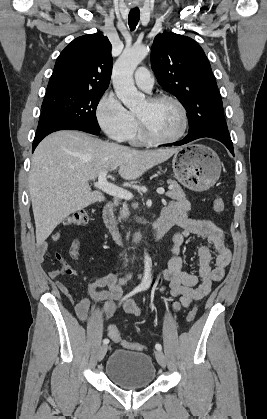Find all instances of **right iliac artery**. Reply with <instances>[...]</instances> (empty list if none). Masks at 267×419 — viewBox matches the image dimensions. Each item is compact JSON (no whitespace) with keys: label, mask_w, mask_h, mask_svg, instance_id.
<instances>
[{"label":"right iliac artery","mask_w":267,"mask_h":419,"mask_svg":"<svg viewBox=\"0 0 267 419\" xmlns=\"http://www.w3.org/2000/svg\"><path fill=\"white\" fill-rule=\"evenodd\" d=\"M142 290V288L140 287V286H138V287H136L133 291H131L129 294H127L123 299H122V301L120 302V304L124 301V300H126L128 297H130V296H132V295H134V294H136V293H138L139 291H141ZM119 304V305H120ZM103 343L104 344H108L109 343V340L106 338V339H104L103 340Z\"/></svg>","instance_id":"82829eb1"}]
</instances>
